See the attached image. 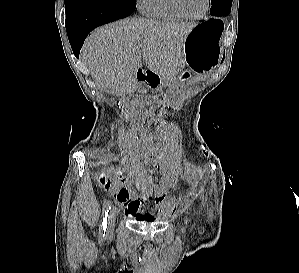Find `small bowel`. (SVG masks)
Masks as SVG:
<instances>
[{
	"label": "small bowel",
	"mask_w": 299,
	"mask_h": 273,
	"mask_svg": "<svg viewBox=\"0 0 299 273\" xmlns=\"http://www.w3.org/2000/svg\"><path fill=\"white\" fill-rule=\"evenodd\" d=\"M153 167L158 169L159 165L156 164ZM132 182L125 174H118L113 179L100 177L102 186L124 207L125 213L129 217L147 222L153 221V213L145 209L150 202H153L159 210H171L175 206L174 198L166 196L163 190H158L156 193L150 192L149 180H135L134 182L138 184L142 194L137 197L131 196L126 185Z\"/></svg>",
	"instance_id": "obj_1"
}]
</instances>
